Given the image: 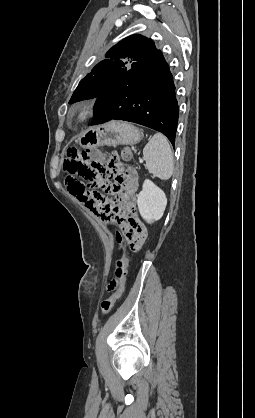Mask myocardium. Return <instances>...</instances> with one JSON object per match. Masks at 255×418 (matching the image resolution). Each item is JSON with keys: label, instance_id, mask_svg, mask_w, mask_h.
I'll list each match as a JSON object with an SVG mask.
<instances>
[{"label": "myocardium", "instance_id": "obj_1", "mask_svg": "<svg viewBox=\"0 0 255 418\" xmlns=\"http://www.w3.org/2000/svg\"><path fill=\"white\" fill-rule=\"evenodd\" d=\"M97 114V104L95 101H85L73 109L70 119L76 125H84L90 122Z\"/></svg>", "mask_w": 255, "mask_h": 418}]
</instances>
